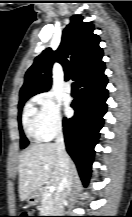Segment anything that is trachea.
I'll return each instance as SVG.
<instances>
[{
    "mask_svg": "<svg viewBox=\"0 0 132 217\" xmlns=\"http://www.w3.org/2000/svg\"><path fill=\"white\" fill-rule=\"evenodd\" d=\"M72 88H73V89H77V88H78L77 83L74 82V83L72 84Z\"/></svg>",
    "mask_w": 132,
    "mask_h": 217,
    "instance_id": "trachea-1",
    "label": "trachea"
}]
</instances>
